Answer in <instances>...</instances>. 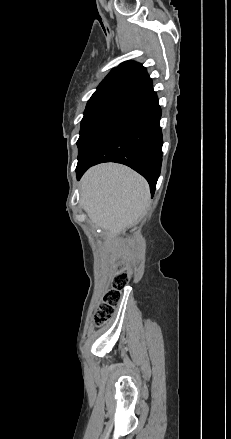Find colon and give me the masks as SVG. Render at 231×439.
<instances>
[{
	"mask_svg": "<svg viewBox=\"0 0 231 439\" xmlns=\"http://www.w3.org/2000/svg\"><path fill=\"white\" fill-rule=\"evenodd\" d=\"M129 278V272L126 270V268L121 267L120 271L113 279L111 289L105 293L103 301L99 304L95 312L94 323L97 327H102L105 325L113 315L115 307L121 300V291L127 285Z\"/></svg>",
	"mask_w": 231,
	"mask_h": 439,
	"instance_id": "obj_1",
	"label": "colon"
}]
</instances>
